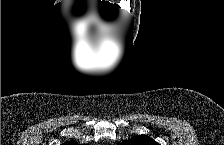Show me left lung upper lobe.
Wrapping results in <instances>:
<instances>
[{
  "label": "left lung upper lobe",
  "mask_w": 224,
  "mask_h": 145,
  "mask_svg": "<svg viewBox=\"0 0 224 145\" xmlns=\"http://www.w3.org/2000/svg\"><path fill=\"white\" fill-rule=\"evenodd\" d=\"M122 145H159L147 135H141L131 140L124 141Z\"/></svg>",
  "instance_id": "5c2ea615"
}]
</instances>
